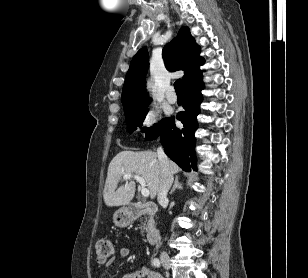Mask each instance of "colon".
Returning a JSON list of instances; mask_svg holds the SVG:
<instances>
[{
  "label": "colon",
  "mask_w": 308,
  "mask_h": 278,
  "mask_svg": "<svg viewBox=\"0 0 308 278\" xmlns=\"http://www.w3.org/2000/svg\"><path fill=\"white\" fill-rule=\"evenodd\" d=\"M96 256L99 262H105L114 253V244L110 239H101L95 246Z\"/></svg>",
  "instance_id": "colon-1"
}]
</instances>
